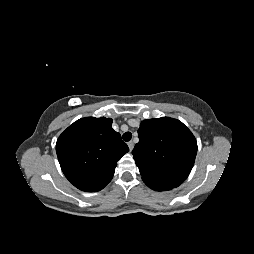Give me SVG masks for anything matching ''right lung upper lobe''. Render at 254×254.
Here are the masks:
<instances>
[{"mask_svg": "<svg viewBox=\"0 0 254 254\" xmlns=\"http://www.w3.org/2000/svg\"><path fill=\"white\" fill-rule=\"evenodd\" d=\"M129 151L111 118H81L58 138L56 153L66 178L86 192L103 189L112 179L117 161Z\"/></svg>", "mask_w": 254, "mask_h": 254, "instance_id": "obj_1", "label": "right lung upper lobe"}]
</instances>
